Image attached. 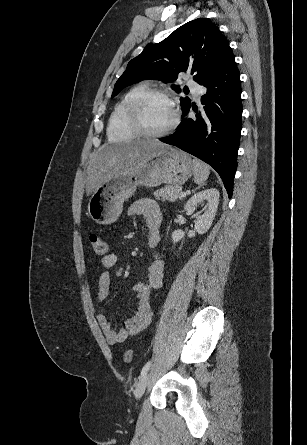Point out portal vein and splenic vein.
<instances>
[{
	"label": "portal vein and splenic vein",
	"mask_w": 307,
	"mask_h": 445,
	"mask_svg": "<svg viewBox=\"0 0 307 445\" xmlns=\"http://www.w3.org/2000/svg\"><path fill=\"white\" fill-rule=\"evenodd\" d=\"M181 196H186L185 192H184V194H181Z\"/></svg>",
	"instance_id": "1"
}]
</instances>
